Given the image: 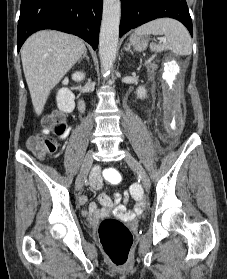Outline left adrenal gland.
Wrapping results in <instances>:
<instances>
[{
  "label": "left adrenal gland",
  "instance_id": "left-adrenal-gland-1",
  "mask_svg": "<svg viewBox=\"0 0 227 279\" xmlns=\"http://www.w3.org/2000/svg\"><path fill=\"white\" fill-rule=\"evenodd\" d=\"M124 50H125V51H130V52L132 53L130 44H127V45L124 47Z\"/></svg>",
  "mask_w": 227,
  "mask_h": 279
}]
</instances>
